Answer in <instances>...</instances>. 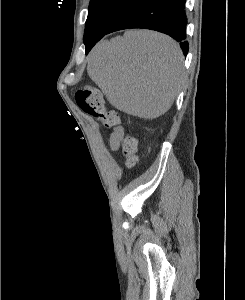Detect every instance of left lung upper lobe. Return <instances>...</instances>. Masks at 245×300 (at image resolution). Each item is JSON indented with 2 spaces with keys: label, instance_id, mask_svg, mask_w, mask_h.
I'll use <instances>...</instances> for the list:
<instances>
[{
  "label": "left lung upper lobe",
  "instance_id": "5c2ea615",
  "mask_svg": "<svg viewBox=\"0 0 245 300\" xmlns=\"http://www.w3.org/2000/svg\"><path fill=\"white\" fill-rule=\"evenodd\" d=\"M138 0H91L84 33V43L92 32L105 33L112 23Z\"/></svg>",
  "mask_w": 245,
  "mask_h": 300
}]
</instances>
